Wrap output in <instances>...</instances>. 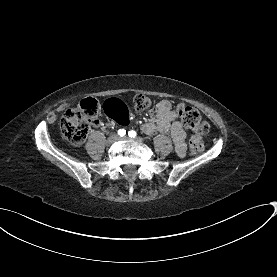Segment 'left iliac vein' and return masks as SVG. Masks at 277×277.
<instances>
[{
	"label": "left iliac vein",
	"mask_w": 277,
	"mask_h": 277,
	"mask_svg": "<svg viewBox=\"0 0 277 277\" xmlns=\"http://www.w3.org/2000/svg\"><path fill=\"white\" fill-rule=\"evenodd\" d=\"M126 139H128V138H127V137L121 138V140H126ZM136 140H137V141H142L143 139H142V138H137Z\"/></svg>",
	"instance_id": "4c4485c4"
}]
</instances>
